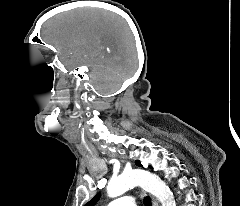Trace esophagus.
Here are the masks:
<instances>
[{"label": "esophagus", "instance_id": "obj_1", "mask_svg": "<svg viewBox=\"0 0 240 206\" xmlns=\"http://www.w3.org/2000/svg\"><path fill=\"white\" fill-rule=\"evenodd\" d=\"M152 206H159L158 201L155 197L151 196Z\"/></svg>", "mask_w": 240, "mask_h": 206}]
</instances>
